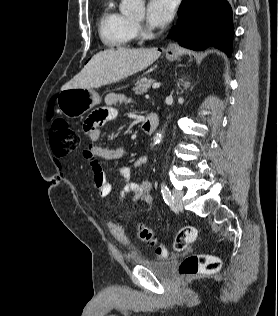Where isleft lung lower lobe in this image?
<instances>
[{
    "mask_svg": "<svg viewBox=\"0 0 278 316\" xmlns=\"http://www.w3.org/2000/svg\"><path fill=\"white\" fill-rule=\"evenodd\" d=\"M234 29L228 0H183L177 25L170 37L193 50L216 47L228 56L232 50Z\"/></svg>",
    "mask_w": 278,
    "mask_h": 316,
    "instance_id": "left-lung-lower-lobe-1",
    "label": "left lung lower lobe"
}]
</instances>
